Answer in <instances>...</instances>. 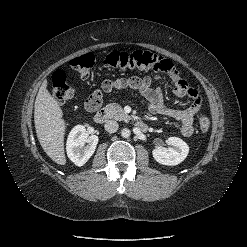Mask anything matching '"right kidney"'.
Returning <instances> with one entry per match:
<instances>
[{"instance_id":"1","label":"right kidney","mask_w":247,"mask_h":247,"mask_svg":"<svg viewBox=\"0 0 247 247\" xmlns=\"http://www.w3.org/2000/svg\"><path fill=\"white\" fill-rule=\"evenodd\" d=\"M97 144L98 136L88 135L83 125H77L68 135L67 155L75 165L83 166L94 154Z\"/></svg>"}]
</instances>
